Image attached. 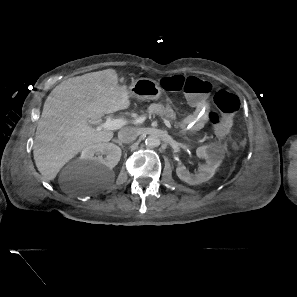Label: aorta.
<instances>
[{
    "label": "aorta",
    "mask_w": 297,
    "mask_h": 297,
    "mask_svg": "<svg viewBox=\"0 0 297 297\" xmlns=\"http://www.w3.org/2000/svg\"><path fill=\"white\" fill-rule=\"evenodd\" d=\"M160 142V138L157 135H149L145 141L146 146L151 148L158 147Z\"/></svg>",
    "instance_id": "1"
}]
</instances>
